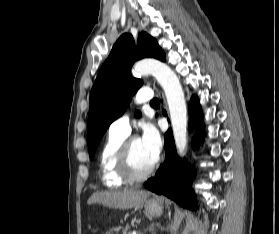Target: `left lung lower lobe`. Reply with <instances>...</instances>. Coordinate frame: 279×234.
Listing matches in <instances>:
<instances>
[{
    "instance_id": "1",
    "label": "left lung lower lobe",
    "mask_w": 279,
    "mask_h": 234,
    "mask_svg": "<svg viewBox=\"0 0 279 234\" xmlns=\"http://www.w3.org/2000/svg\"><path fill=\"white\" fill-rule=\"evenodd\" d=\"M190 121L195 126L194 143L196 146L203 139V117L197 96H192L189 104ZM166 116V112L163 111ZM165 163L160 166L155 177L145 182V187L157 194H163L179 205L196 209L195 195L191 189L193 172L184 161H180L174 144L172 130L165 134Z\"/></svg>"
}]
</instances>
